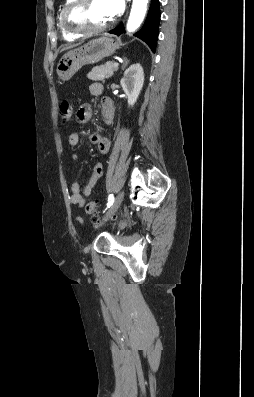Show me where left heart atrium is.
<instances>
[{"instance_id":"39dd6f15","label":"left heart atrium","mask_w":254,"mask_h":397,"mask_svg":"<svg viewBox=\"0 0 254 397\" xmlns=\"http://www.w3.org/2000/svg\"><path fill=\"white\" fill-rule=\"evenodd\" d=\"M102 4L110 18L119 15L124 9V0H102Z\"/></svg>"}]
</instances>
